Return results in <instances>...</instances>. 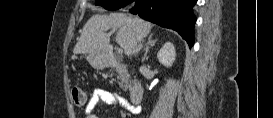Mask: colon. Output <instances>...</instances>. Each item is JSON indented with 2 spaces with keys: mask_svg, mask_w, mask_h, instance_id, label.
Returning a JSON list of instances; mask_svg holds the SVG:
<instances>
[{
  "mask_svg": "<svg viewBox=\"0 0 273 118\" xmlns=\"http://www.w3.org/2000/svg\"><path fill=\"white\" fill-rule=\"evenodd\" d=\"M71 95L74 103L77 106H83L86 104L87 101L86 93L81 87L77 85L73 86L71 90Z\"/></svg>",
  "mask_w": 273,
  "mask_h": 118,
  "instance_id": "5ec220e1",
  "label": "colon"
}]
</instances>
